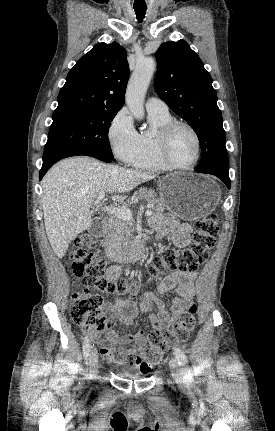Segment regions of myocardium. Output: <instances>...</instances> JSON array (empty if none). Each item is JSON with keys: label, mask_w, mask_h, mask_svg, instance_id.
<instances>
[{"label": "myocardium", "mask_w": 275, "mask_h": 431, "mask_svg": "<svg viewBox=\"0 0 275 431\" xmlns=\"http://www.w3.org/2000/svg\"><path fill=\"white\" fill-rule=\"evenodd\" d=\"M179 127H184L188 129L196 142V156L195 159L186 165H180L174 162L170 156V142L173 133L175 130ZM156 142H157V151L158 155L161 159V161L170 169H176V170H187L192 167H194L200 160L201 154H202V143L201 138L196 131V129L189 124L188 122L181 121V120H172L168 122L166 125H164L157 133L156 135Z\"/></svg>", "instance_id": "f54148a6"}]
</instances>
